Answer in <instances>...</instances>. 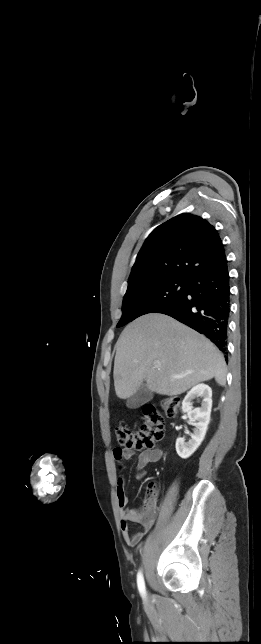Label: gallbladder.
<instances>
[{"label": "gallbladder", "instance_id": "obj_1", "mask_svg": "<svg viewBox=\"0 0 261 644\" xmlns=\"http://www.w3.org/2000/svg\"><path fill=\"white\" fill-rule=\"evenodd\" d=\"M153 398V393L150 391L145 384L134 393L126 402V406L129 409H137L145 403L149 402Z\"/></svg>", "mask_w": 261, "mask_h": 644}]
</instances>
